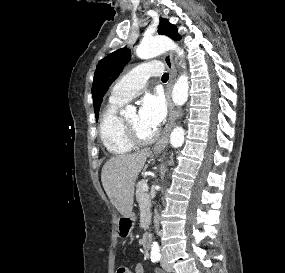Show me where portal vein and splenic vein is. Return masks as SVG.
<instances>
[{
	"label": "portal vein and splenic vein",
	"instance_id": "portal-vein-and-splenic-vein-1",
	"mask_svg": "<svg viewBox=\"0 0 285 273\" xmlns=\"http://www.w3.org/2000/svg\"><path fill=\"white\" fill-rule=\"evenodd\" d=\"M142 189H143L144 191H148V185H147V183H144V184L142 185Z\"/></svg>",
	"mask_w": 285,
	"mask_h": 273
}]
</instances>
